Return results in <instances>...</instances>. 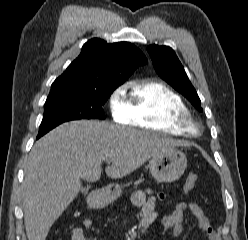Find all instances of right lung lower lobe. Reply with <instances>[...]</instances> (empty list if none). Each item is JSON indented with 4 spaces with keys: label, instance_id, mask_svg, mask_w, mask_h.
<instances>
[{
    "label": "right lung lower lobe",
    "instance_id": "1",
    "mask_svg": "<svg viewBox=\"0 0 248 240\" xmlns=\"http://www.w3.org/2000/svg\"><path fill=\"white\" fill-rule=\"evenodd\" d=\"M51 129H44V130H39L37 139L40 138L41 136H43L44 134H46L47 132H49Z\"/></svg>",
    "mask_w": 248,
    "mask_h": 240
}]
</instances>
